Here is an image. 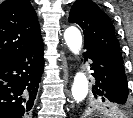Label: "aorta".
Listing matches in <instances>:
<instances>
[{
    "mask_svg": "<svg viewBox=\"0 0 133 118\" xmlns=\"http://www.w3.org/2000/svg\"><path fill=\"white\" fill-rule=\"evenodd\" d=\"M65 42L72 53L78 55L82 47V36L78 28L71 26L64 32ZM88 79L83 72H77L71 88L73 99L79 103L83 101L88 94Z\"/></svg>",
    "mask_w": 133,
    "mask_h": 118,
    "instance_id": "1",
    "label": "aorta"
}]
</instances>
